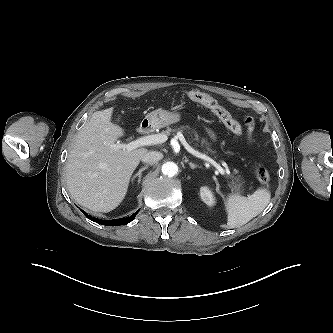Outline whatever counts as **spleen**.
Listing matches in <instances>:
<instances>
[{"instance_id": "1", "label": "spleen", "mask_w": 333, "mask_h": 333, "mask_svg": "<svg viewBox=\"0 0 333 333\" xmlns=\"http://www.w3.org/2000/svg\"><path fill=\"white\" fill-rule=\"evenodd\" d=\"M270 198L271 194L267 189H257L248 197L230 194L225 201L227 226L237 228L245 225L265 209Z\"/></svg>"}]
</instances>
